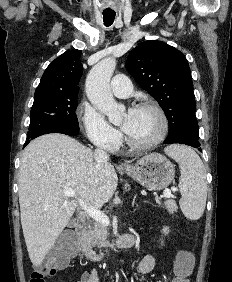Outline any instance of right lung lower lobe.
Instances as JSON below:
<instances>
[{
	"label": "right lung lower lobe",
	"instance_id": "obj_1",
	"mask_svg": "<svg viewBox=\"0 0 232 282\" xmlns=\"http://www.w3.org/2000/svg\"><path fill=\"white\" fill-rule=\"evenodd\" d=\"M48 133H62V134H66V135H69V136L78 135L77 130H74V129H71V128H68V127H65V126H55V127H52V128H50L46 131H43L39 134H36V135L29 137L28 140L25 142L24 147L30 142L31 139H34L38 136H41L43 134H48Z\"/></svg>",
	"mask_w": 232,
	"mask_h": 282
}]
</instances>
